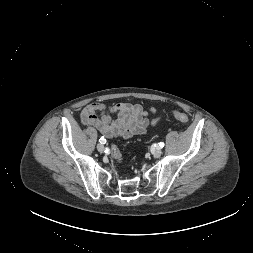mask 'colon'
I'll list each match as a JSON object with an SVG mask.
<instances>
[{"label":"colon","mask_w":253,"mask_h":253,"mask_svg":"<svg viewBox=\"0 0 253 253\" xmlns=\"http://www.w3.org/2000/svg\"><path fill=\"white\" fill-rule=\"evenodd\" d=\"M174 117L181 123L183 124H187L188 123V117L186 114H184L183 112L180 111H174L173 112ZM110 153L112 158L116 161V162H121L122 161V154L119 150V148L117 147V145L115 144H111L110 146Z\"/></svg>","instance_id":"colon-1"}]
</instances>
